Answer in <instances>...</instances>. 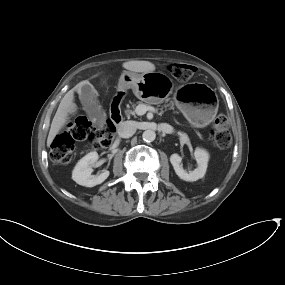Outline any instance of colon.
I'll return each instance as SVG.
<instances>
[{
    "label": "colon",
    "instance_id": "colon-1",
    "mask_svg": "<svg viewBox=\"0 0 285 285\" xmlns=\"http://www.w3.org/2000/svg\"><path fill=\"white\" fill-rule=\"evenodd\" d=\"M169 74L179 80L188 81L195 73V67L188 64L173 63L168 66ZM116 132V124L107 121L97 131L86 117H78L71 121L64 131L57 135L52 144L50 158L54 164L68 163L72 157L75 145L78 142L88 141L91 147L100 149L111 144ZM211 138L220 149H226L231 142L229 121L224 115H219L212 127Z\"/></svg>",
    "mask_w": 285,
    "mask_h": 285
}]
</instances>
